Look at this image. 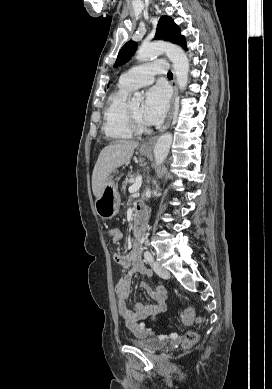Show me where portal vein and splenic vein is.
<instances>
[{
	"label": "portal vein and splenic vein",
	"instance_id": "obj_1",
	"mask_svg": "<svg viewBox=\"0 0 272 389\" xmlns=\"http://www.w3.org/2000/svg\"><path fill=\"white\" fill-rule=\"evenodd\" d=\"M141 184H142V176L139 175V176L136 178V180H135V182L133 183V185H131V186L129 187V189H128L129 192H130V193L137 192V191L140 189Z\"/></svg>",
	"mask_w": 272,
	"mask_h": 389
}]
</instances>
